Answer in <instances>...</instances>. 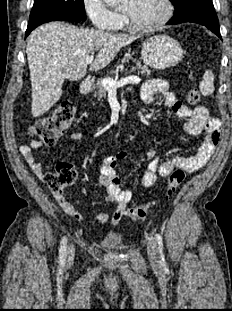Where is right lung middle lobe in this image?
I'll return each instance as SVG.
<instances>
[{"label":"right lung middle lobe","mask_w":232,"mask_h":311,"mask_svg":"<svg viewBox=\"0 0 232 311\" xmlns=\"http://www.w3.org/2000/svg\"><path fill=\"white\" fill-rule=\"evenodd\" d=\"M54 13L69 14L86 20L83 0H34L29 20Z\"/></svg>","instance_id":"1"}]
</instances>
